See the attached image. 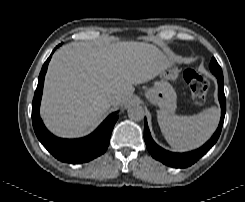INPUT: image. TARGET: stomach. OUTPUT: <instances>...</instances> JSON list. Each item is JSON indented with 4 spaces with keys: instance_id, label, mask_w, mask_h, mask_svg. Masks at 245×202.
Instances as JSON below:
<instances>
[{
    "instance_id": "stomach-1",
    "label": "stomach",
    "mask_w": 245,
    "mask_h": 202,
    "mask_svg": "<svg viewBox=\"0 0 245 202\" xmlns=\"http://www.w3.org/2000/svg\"><path fill=\"white\" fill-rule=\"evenodd\" d=\"M146 98L161 111L172 114L176 109L177 95L170 83L159 81L145 93Z\"/></svg>"
}]
</instances>
